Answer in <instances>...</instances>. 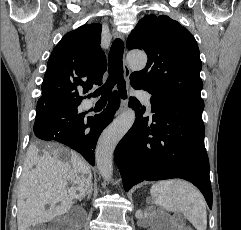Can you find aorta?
I'll list each match as a JSON object with an SVG mask.
<instances>
[{
  "label": "aorta",
  "mask_w": 241,
  "mask_h": 230,
  "mask_svg": "<svg viewBox=\"0 0 241 230\" xmlns=\"http://www.w3.org/2000/svg\"><path fill=\"white\" fill-rule=\"evenodd\" d=\"M127 62L131 69L140 71L147 63V57L143 52H129ZM135 121V112L128 109L102 133L96 148V164L100 175L104 180H109L113 174V153Z\"/></svg>",
  "instance_id": "1"
}]
</instances>
